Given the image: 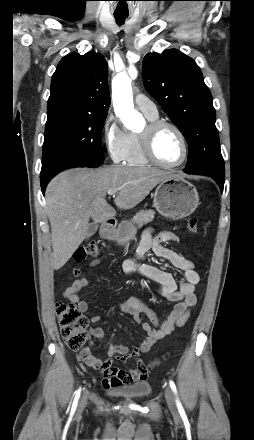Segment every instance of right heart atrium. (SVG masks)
Wrapping results in <instances>:
<instances>
[{
    "label": "right heart atrium",
    "mask_w": 254,
    "mask_h": 440,
    "mask_svg": "<svg viewBox=\"0 0 254 440\" xmlns=\"http://www.w3.org/2000/svg\"><path fill=\"white\" fill-rule=\"evenodd\" d=\"M102 133L105 147L112 161L124 162L131 144V133L123 129L113 115L106 117Z\"/></svg>",
    "instance_id": "obj_1"
}]
</instances>
